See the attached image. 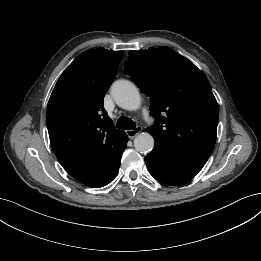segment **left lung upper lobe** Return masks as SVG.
Here are the masks:
<instances>
[{"mask_svg": "<svg viewBox=\"0 0 261 261\" xmlns=\"http://www.w3.org/2000/svg\"><path fill=\"white\" fill-rule=\"evenodd\" d=\"M125 72L151 99L155 146L174 154L209 157L219 110L206 76L168 47L130 51ZM162 114V115H161Z\"/></svg>", "mask_w": 261, "mask_h": 261, "instance_id": "1", "label": "left lung upper lobe"}]
</instances>
